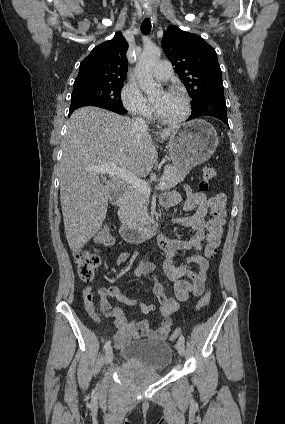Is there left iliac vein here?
<instances>
[{
	"label": "left iliac vein",
	"instance_id": "obj_1",
	"mask_svg": "<svg viewBox=\"0 0 285 424\" xmlns=\"http://www.w3.org/2000/svg\"><path fill=\"white\" fill-rule=\"evenodd\" d=\"M177 350H178V353H179L181 356H183V355L185 354V346H184V343H183V342H181L180 340L177 342Z\"/></svg>",
	"mask_w": 285,
	"mask_h": 424
}]
</instances>
